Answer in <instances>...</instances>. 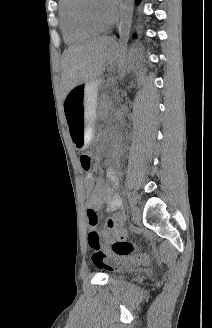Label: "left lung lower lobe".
<instances>
[{"instance_id": "0a47b994", "label": "left lung lower lobe", "mask_w": 212, "mask_h": 328, "mask_svg": "<svg viewBox=\"0 0 212 328\" xmlns=\"http://www.w3.org/2000/svg\"><path fill=\"white\" fill-rule=\"evenodd\" d=\"M136 2L138 3V2H140V0H136Z\"/></svg>"}]
</instances>
